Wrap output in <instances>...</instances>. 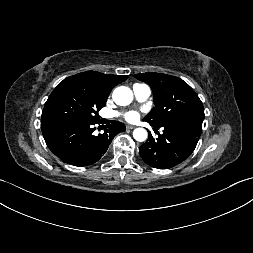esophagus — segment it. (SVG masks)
Returning <instances> with one entry per match:
<instances>
[{
  "mask_svg": "<svg viewBox=\"0 0 253 253\" xmlns=\"http://www.w3.org/2000/svg\"><path fill=\"white\" fill-rule=\"evenodd\" d=\"M126 128H127L128 130H132V129L135 128V126H133V125H127Z\"/></svg>",
  "mask_w": 253,
  "mask_h": 253,
  "instance_id": "obj_1",
  "label": "esophagus"
}]
</instances>
